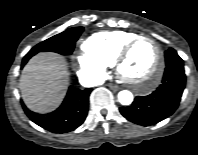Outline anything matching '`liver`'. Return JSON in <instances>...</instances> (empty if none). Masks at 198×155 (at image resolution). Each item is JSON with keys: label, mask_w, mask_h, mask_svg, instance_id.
I'll use <instances>...</instances> for the list:
<instances>
[{"label": "liver", "mask_w": 198, "mask_h": 155, "mask_svg": "<svg viewBox=\"0 0 198 155\" xmlns=\"http://www.w3.org/2000/svg\"><path fill=\"white\" fill-rule=\"evenodd\" d=\"M69 85L65 59L55 53H39L24 67L20 90L26 106L38 113L55 110L64 99Z\"/></svg>", "instance_id": "1"}]
</instances>
